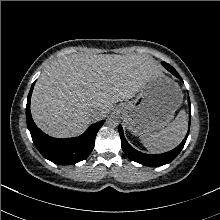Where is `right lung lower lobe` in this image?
Here are the masks:
<instances>
[{"label": "right lung lower lobe", "instance_id": "98d812e1", "mask_svg": "<svg viewBox=\"0 0 220 220\" xmlns=\"http://www.w3.org/2000/svg\"><path fill=\"white\" fill-rule=\"evenodd\" d=\"M34 84L35 82L32 84L27 98L26 119L38 151L44 158L60 165H72L86 159L93 150L96 134L104 121L93 124L77 138L56 139L46 135L35 125L30 112V100Z\"/></svg>", "mask_w": 220, "mask_h": 220}]
</instances>
